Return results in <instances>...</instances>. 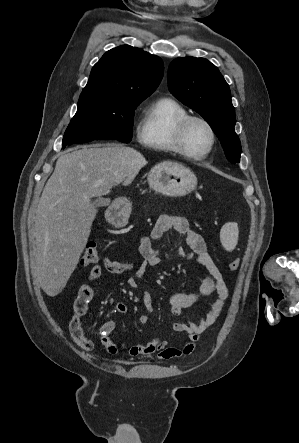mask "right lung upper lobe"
<instances>
[{
    "label": "right lung upper lobe",
    "instance_id": "1",
    "mask_svg": "<svg viewBox=\"0 0 299 443\" xmlns=\"http://www.w3.org/2000/svg\"><path fill=\"white\" fill-rule=\"evenodd\" d=\"M162 60L142 49L122 45L107 51L93 66L81 95L144 100L162 80Z\"/></svg>",
    "mask_w": 299,
    "mask_h": 443
}]
</instances>
